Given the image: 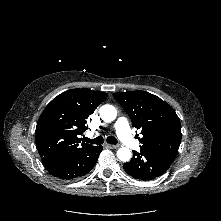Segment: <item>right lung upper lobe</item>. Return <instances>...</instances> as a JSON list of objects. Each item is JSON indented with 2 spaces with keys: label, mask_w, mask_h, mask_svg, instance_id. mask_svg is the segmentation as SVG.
I'll return each mask as SVG.
<instances>
[{
  "label": "right lung upper lobe",
  "mask_w": 221,
  "mask_h": 221,
  "mask_svg": "<svg viewBox=\"0 0 221 221\" xmlns=\"http://www.w3.org/2000/svg\"><path fill=\"white\" fill-rule=\"evenodd\" d=\"M105 92L87 88L71 89L55 97L42 112L35 140L43 165L58 156L90 146L79 135L86 129V119L107 98Z\"/></svg>",
  "instance_id": "cb5924a9"
}]
</instances>
